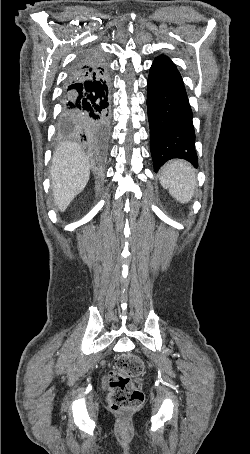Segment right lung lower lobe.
I'll list each match as a JSON object with an SVG mask.
<instances>
[{"instance_id":"right-lung-lower-lobe-1","label":"right lung lower lobe","mask_w":250,"mask_h":454,"mask_svg":"<svg viewBox=\"0 0 250 454\" xmlns=\"http://www.w3.org/2000/svg\"><path fill=\"white\" fill-rule=\"evenodd\" d=\"M61 125L97 148L109 135V68L97 48L80 53L71 67L62 95Z\"/></svg>"}]
</instances>
